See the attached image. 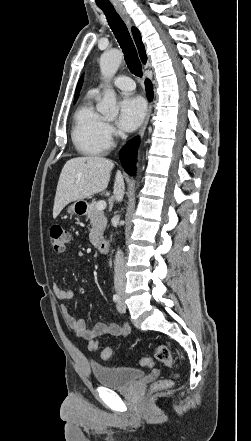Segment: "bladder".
<instances>
[{"label": "bladder", "mask_w": 251, "mask_h": 441, "mask_svg": "<svg viewBox=\"0 0 251 441\" xmlns=\"http://www.w3.org/2000/svg\"><path fill=\"white\" fill-rule=\"evenodd\" d=\"M92 373L96 381L112 389H126L144 376V371L134 367H110L93 364Z\"/></svg>", "instance_id": "1"}]
</instances>
